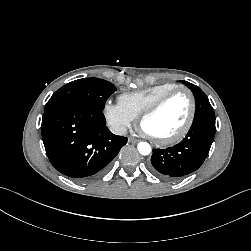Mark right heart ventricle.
Masks as SVG:
<instances>
[{"instance_id": "1", "label": "right heart ventricle", "mask_w": 251, "mask_h": 251, "mask_svg": "<svg viewBox=\"0 0 251 251\" xmlns=\"http://www.w3.org/2000/svg\"><path fill=\"white\" fill-rule=\"evenodd\" d=\"M176 87L178 86L172 83L157 84L140 91L123 93L119 96L118 102L135 119L159 97Z\"/></svg>"}]
</instances>
